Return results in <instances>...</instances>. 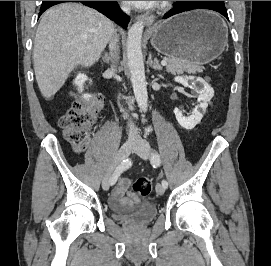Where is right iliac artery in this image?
I'll list each match as a JSON object with an SVG mask.
<instances>
[{
    "label": "right iliac artery",
    "mask_w": 271,
    "mask_h": 266,
    "mask_svg": "<svg viewBox=\"0 0 271 266\" xmlns=\"http://www.w3.org/2000/svg\"><path fill=\"white\" fill-rule=\"evenodd\" d=\"M132 162L130 159L123 160L120 165H118L112 174L110 178L111 185L115 184L118 177L123 173L125 170H127L129 167H131Z\"/></svg>",
    "instance_id": "82829eb1"
}]
</instances>
